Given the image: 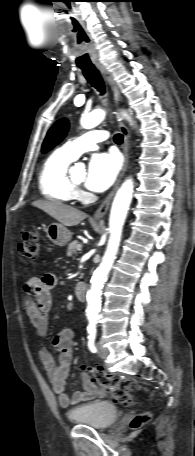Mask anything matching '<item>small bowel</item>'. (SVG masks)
<instances>
[{
    "mask_svg": "<svg viewBox=\"0 0 195 456\" xmlns=\"http://www.w3.org/2000/svg\"><path fill=\"white\" fill-rule=\"evenodd\" d=\"M57 284V276L46 273L42 277H31L24 285V309L33 323L42 345L40 359L52 384L57 401L61 407H69L105 395V390L96 386L88 373H81L83 390L71 396L65 392L66 379L73 358L74 331L70 328L60 330L49 343L45 342L49 328V313L52 308L51 289ZM52 351L58 352L56 363Z\"/></svg>",
    "mask_w": 195,
    "mask_h": 456,
    "instance_id": "c3829d8e",
    "label": "small bowel"
}]
</instances>
